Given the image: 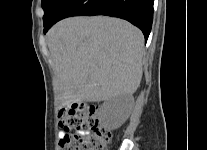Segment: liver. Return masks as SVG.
<instances>
[{"label":"liver","instance_id":"liver-1","mask_svg":"<svg viewBox=\"0 0 207 150\" xmlns=\"http://www.w3.org/2000/svg\"><path fill=\"white\" fill-rule=\"evenodd\" d=\"M61 107L132 95L142 78L144 37L125 20L72 17L47 34Z\"/></svg>","mask_w":207,"mask_h":150}]
</instances>
